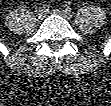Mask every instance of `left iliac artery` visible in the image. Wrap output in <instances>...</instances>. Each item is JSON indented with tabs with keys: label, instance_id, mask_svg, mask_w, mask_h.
Segmentation results:
<instances>
[{
	"label": "left iliac artery",
	"instance_id": "left-iliac-artery-1",
	"mask_svg": "<svg viewBox=\"0 0 111 106\" xmlns=\"http://www.w3.org/2000/svg\"><path fill=\"white\" fill-rule=\"evenodd\" d=\"M65 12L66 13H71L72 12V8H70V7L65 8Z\"/></svg>",
	"mask_w": 111,
	"mask_h": 106
}]
</instances>
